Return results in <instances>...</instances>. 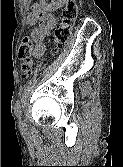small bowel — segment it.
<instances>
[{
  "instance_id": "c3829d8e",
  "label": "small bowel",
  "mask_w": 123,
  "mask_h": 167,
  "mask_svg": "<svg viewBox=\"0 0 123 167\" xmlns=\"http://www.w3.org/2000/svg\"><path fill=\"white\" fill-rule=\"evenodd\" d=\"M62 2L63 0H55ZM46 3V0L45 2ZM28 24L37 23L38 25L30 33V38L34 43L32 55L35 58H40L45 52L44 40L57 25V20L54 15L48 12L45 7L35 5L33 11L27 17Z\"/></svg>"
}]
</instances>
